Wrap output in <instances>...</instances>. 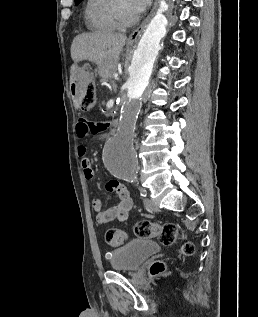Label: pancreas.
<instances>
[{
  "instance_id": "pancreas-1",
  "label": "pancreas",
  "mask_w": 258,
  "mask_h": 317,
  "mask_svg": "<svg viewBox=\"0 0 258 317\" xmlns=\"http://www.w3.org/2000/svg\"><path fill=\"white\" fill-rule=\"evenodd\" d=\"M107 81H108L109 84H111L110 89H109L110 92L111 93H116L119 86H118L117 81L115 80V78L114 77H109Z\"/></svg>"
}]
</instances>
